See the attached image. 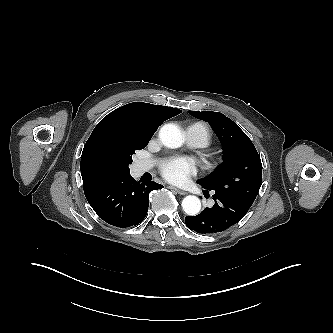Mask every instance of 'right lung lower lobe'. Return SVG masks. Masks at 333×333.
I'll use <instances>...</instances> for the list:
<instances>
[{"instance_id": "obj_1", "label": "right lung lower lobe", "mask_w": 333, "mask_h": 333, "mask_svg": "<svg viewBox=\"0 0 333 333\" xmlns=\"http://www.w3.org/2000/svg\"><path fill=\"white\" fill-rule=\"evenodd\" d=\"M156 182H136L130 174L109 175L87 186L85 196L105 222L117 227H129L142 222L149 206V193L161 189Z\"/></svg>"}]
</instances>
